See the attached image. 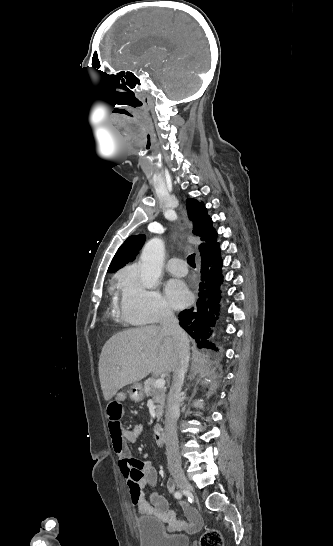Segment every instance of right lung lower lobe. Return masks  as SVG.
Segmentation results:
<instances>
[{"label": "right lung lower lobe", "mask_w": 333, "mask_h": 546, "mask_svg": "<svg viewBox=\"0 0 333 546\" xmlns=\"http://www.w3.org/2000/svg\"><path fill=\"white\" fill-rule=\"evenodd\" d=\"M222 259L219 244L207 255L201 256V282L197 306L179 314V322L197 342L198 347L214 348L206 339L215 325L221 299Z\"/></svg>", "instance_id": "98d812e1"}]
</instances>
